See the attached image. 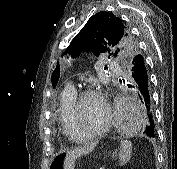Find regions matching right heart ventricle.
<instances>
[{"instance_id": "right-heart-ventricle-1", "label": "right heart ventricle", "mask_w": 177, "mask_h": 169, "mask_svg": "<svg viewBox=\"0 0 177 169\" xmlns=\"http://www.w3.org/2000/svg\"><path fill=\"white\" fill-rule=\"evenodd\" d=\"M77 90L74 87L66 86L59 100L58 113L60 125L62 132L66 138L71 141H78L75 138V133L73 130L72 120H71V107L76 98Z\"/></svg>"}]
</instances>
